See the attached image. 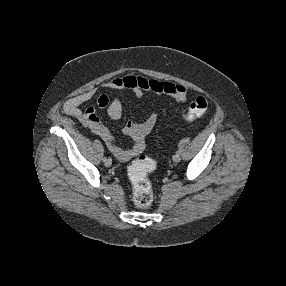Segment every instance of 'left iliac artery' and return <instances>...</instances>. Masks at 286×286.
I'll list each match as a JSON object with an SVG mask.
<instances>
[{
  "mask_svg": "<svg viewBox=\"0 0 286 286\" xmlns=\"http://www.w3.org/2000/svg\"><path fill=\"white\" fill-rule=\"evenodd\" d=\"M176 154H180V151H177Z\"/></svg>",
  "mask_w": 286,
  "mask_h": 286,
  "instance_id": "obj_1",
  "label": "left iliac artery"
}]
</instances>
